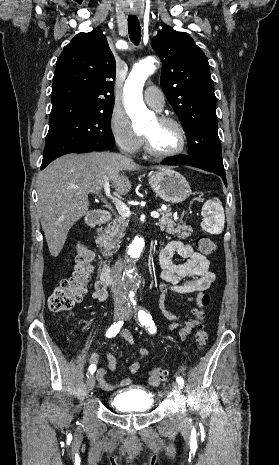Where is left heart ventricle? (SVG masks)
<instances>
[{"instance_id": "b2bd125f", "label": "left heart ventricle", "mask_w": 279, "mask_h": 465, "mask_svg": "<svg viewBox=\"0 0 279 465\" xmlns=\"http://www.w3.org/2000/svg\"><path fill=\"white\" fill-rule=\"evenodd\" d=\"M152 147L158 152H170L179 145V133L172 124H161L153 120L143 131Z\"/></svg>"}]
</instances>
